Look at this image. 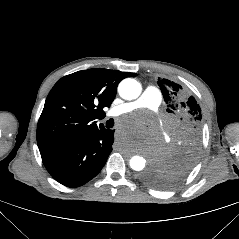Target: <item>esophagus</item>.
Listing matches in <instances>:
<instances>
[{
  "label": "esophagus",
  "mask_w": 239,
  "mask_h": 239,
  "mask_svg": "<svg viewBox=\"0 0 239 239\" xmlns=\"http://www.w3.org/2000/svg\"><path fill=\"white\" fill-rule=\"evenodd\" d=\"M112 138H113L114 140H119V139L121 138V133H120L119 131H114V132L112 133Z\"/></svg>",
  "instance_id": "obj_1"
}]
</instances>
